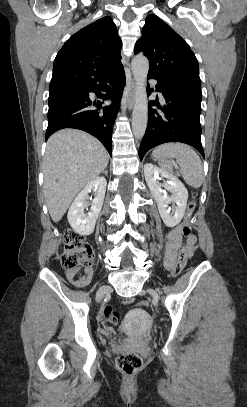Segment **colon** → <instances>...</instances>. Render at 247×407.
Instances as JSON below:
<instances>
[{"label": "colon", "mask_w": 247, "mask_h": 407, "mask_svg": "<svg viewBox=\"0 0 247 407\" xmlns=\"http://www.w3.org/2000/svg\"><path fill=\"white\" fill-rule=\"evenodd\" d=\"M196 210V202L192 200L187 208L185 217L180 225L182 235L187 239L191 236V219ZM187 243L183 244L179 250L177 262L172 275L177 277L181 274L186 261L188 252ZM93 263V250L86 242L84 237L78 232L67 229L64 232V250L61 254V264L65 269H75L78 267H90ZM134 302L133 297L126 298L124 304L129 305ZM139 307H149V302L142 300L138 303ZM106 321L117 324L121 320V313L114 311L111 306H106L103 312ZM117 368L127 376L136 374L142 367L141 358L133 352H124L116 360Z\"/></svg>", "instance_id": "obj_1"}]
</instances>
